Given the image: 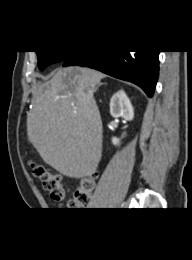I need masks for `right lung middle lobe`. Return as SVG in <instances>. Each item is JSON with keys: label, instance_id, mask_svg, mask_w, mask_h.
Listing matches in <instances>:
<instances>
[{"label": "right lung middle lobe", "instance_id": "1", "mask_svg": "<svg viewBox=\"0 0 192 260\" xmlns=\"http://www.w3.org/2000/svg\"><path fill=\"white\" fill-rule=\"evenodd\" d=\"M38 56V67L40 70H44L48 65L64 61L72 52L70 51H36Z\"/></svg>", "mask_w": 192, "mask_h": 260}]
</instances>
